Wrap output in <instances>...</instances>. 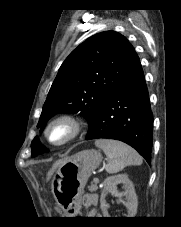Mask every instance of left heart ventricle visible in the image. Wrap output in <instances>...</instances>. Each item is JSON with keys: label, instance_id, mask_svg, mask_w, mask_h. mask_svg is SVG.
I'll return each instance as SVG.
<instances>
[{"label": "left heart ventricle", "instance_id": "b2bd125f", "mask_svg": "<svg viewBox=\"0 0 181 227\" xmlns=\"http://www.w3.org/2000/svg\"><path fill=\"white\" fill-rule=\"evenodd\" d=\"M68 134V128L63 125L55 126L50 132L51 140L57 142L66 137Z\"/></svg>", "mask_w": 181, "mask_h": 227}]
</instances>
